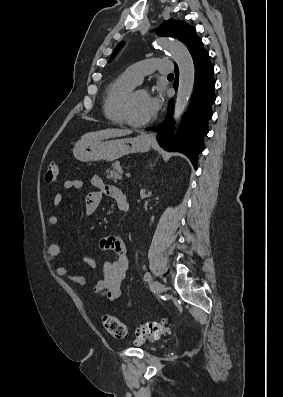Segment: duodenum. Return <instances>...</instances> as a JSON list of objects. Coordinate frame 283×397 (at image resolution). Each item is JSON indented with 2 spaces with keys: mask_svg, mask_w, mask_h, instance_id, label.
Returning a JSON list of instances; mask_svg holds the SVG:
<instances>
[{
  "mask_svg": "<svg viewBox=\"0 0 283 397\" xmlns=\"http://www.w3.org/2000/svg\"><path fill=\"white\" fill-rule=\"evenodd\" d=\"M120 209L122 210V211H128V209H129V204H128V202H123L122 204H121V206H120Z\"/></svg>",
  "mask_w": 283,
  "mask_h": 397,
  "instance_id": "obj_1",
  "label": "duodenum"
}]
</instances>
